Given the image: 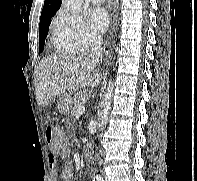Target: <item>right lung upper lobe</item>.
Here are the masks:
<instances>
[{"instance_id": "obj_1", "label": "right lung upper lobe", "mask_w": 197, "mask_h": 181, "mask_svg": "<svg viewBox=\"0 0 197 181\" xmlns=\"http://www.w3.org/2000/svg\"><path fill=\"white\" fill-rule=\"evenodd\" d=\"M61 5V0H45L41 16L55 14Z\"/></svg>"}]
</instances>
